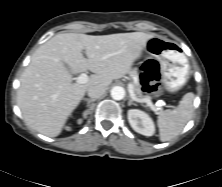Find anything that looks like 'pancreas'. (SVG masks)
<instances>
[{
	"mask_svg": "<svg viewBox=\"0 0 222 187\" xmlns=\"http://www.w3.org/2000/svg\"><path fill=\"white\" fill-rule=\"evenodd\" d=\"M131 73L136 77V80L133 81V90H134V93H135L136 97L144 98V99H151L150 96H144L142 94L141 85H140V82H139V79H138L137 72L134 70Z\"/></svg>",
	"mask_w": 222,
	"mask_h": 187,
	"instance_id": "1",
	"label": "pancreas"
}]
</instances>
